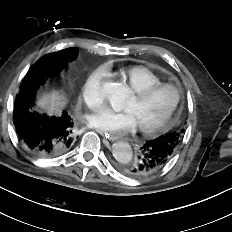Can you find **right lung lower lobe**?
I'll return each instance as SVG.
<instances>
[{
  "mask_svg": "<svg viewBox=\"0 0 232 232\" xmlns=\"http://www.w3.org/2000/svg\"><path fill=\"white\" fill-rule=\"evenodd\" d=\"M35 87H23L16 96L13 111L15 130L21 145L31 154L49 158L69 150L73 143V122L67 112L47 116L34 111Z\"/></svg>",
  "mask_w": 232,
  "mask_h": 232,
  "instance_id": "1",
  "label": "right lung lower lobe"
}]
</instances>
